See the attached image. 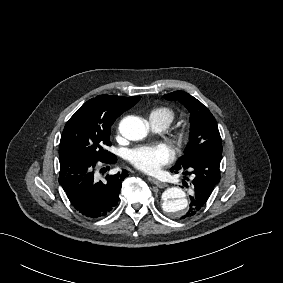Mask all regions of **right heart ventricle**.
Instances as JSON below:
<instances>
[{"label": "right heart ventricle", "mask_w": 283, "mask_h": 283, "mask_svg": "<svg viewBox=\"0 0 283 283\" xmlns=\"http://www.w3.org/2000/svg\"><path fill=\"white\" fill-rule=\"evenodd\" d=\"M153 119L157 122L166 124L168 127L175 119V112L167 106H159L154 108L149 114V120Z\"/></svg>", "instance_id": "right-heart-ventricle-1"}]
</instances>
